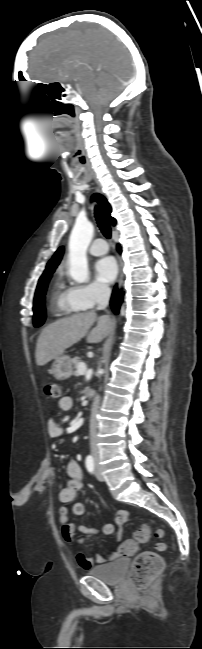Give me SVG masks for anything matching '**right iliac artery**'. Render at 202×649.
<instances>
[{"mask_svg": "<svg viewBox=\"0 0 202 649\" xmlns=\"http://www.w3.org/2000/svg\"><path fill=\"white\" fill-rule=\"evenodd\" d=\"M86 468L90 473L94 472V459L92 456H88L85 460Z\"/></svg>", "mask_w": 202, "mask_h": 649, "instance_id": "82829eb1", "label": "right iliac artery"}]
</instances>
